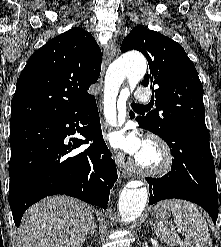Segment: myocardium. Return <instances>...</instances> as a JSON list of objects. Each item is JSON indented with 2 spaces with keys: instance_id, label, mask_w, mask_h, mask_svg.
I'll return each mask as SVG.
<instances>
[{
  "instance_id": "1",
  "label": "myocardium",
  "mask_w": 221,
  "mask_h": 247,
  "mask_svg": "<svg viewBox=\"0 0 221 247\" xmlns=\"http://www.w3.org/2000/svg\"><path fill=\"white\" fill-rule=\"evenodd\" d=\"M144 146L154 150L157 161L154 164H145L136 156L133 159L134 168L148 176H163L169 173L174 166V154L171 146L157 135L149 136Z\"/></svg>"
}]
</instances>
